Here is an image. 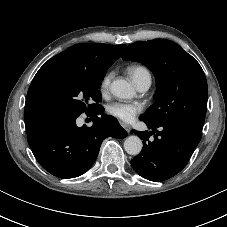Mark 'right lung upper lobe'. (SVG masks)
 <instances>
[{
  "label": "right lung upper lobe",
  "mask_w": 227,
  "mask_h": 227,
  "mask_svg": "<svg viewBox=\"0 0 227 227\" xmlns=\"http://www.w3.org/2000/svg\"><path fill=\"white\" fill-rule=\"evenodd\" d=\"M126 45H107L85 43L74 45L48 60L36 73L28 89L24 118L26 131L30 132L51 118L41 98L40 86L45 75L57 67L102 71L108 69L117 60Z\"/></svg>",
  "instance_id": "1"
}]
</instances>
